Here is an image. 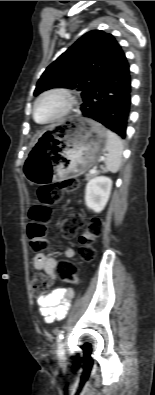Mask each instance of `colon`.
I'll list each match as a JSON object with an SVG mask.
<instances>
[{
  "label": "colon",
  "instance_id": "colon-1",
  "mask_svg": "<svg viewBox=\"0 0 155 395\" xmlns=\"http://www.w3.org/2000/svg\"><path fill=\"white\" fill-rule=\"evenodd\" d=\"M77 187L75 180H66L62 183L43 185L38 189L40 205L30 212V220L27 227L29 243L32 249L44 252L47 249L46 219L50 207L57 204L65 191H72ZM82 226V218L73 214L65 219L61 225L62 234L66 237H74ZM103 232V224L99 218H93L87 225L85 232L80 237L79 253L84 261H91L95 257L93 243ZM60 281H72L74 275L79 274V269L69 262H63L58 270ZM51 287V281L42 273H36L31 280L32 292L35 295L45 294Z\"/></svg>",
  "mask_w": 155,
  "mask_h": 395
}]
</instances>
